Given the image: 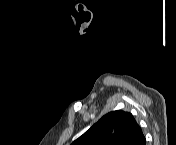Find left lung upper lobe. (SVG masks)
<instances>
[{"instance_id": "obj_1", "label": "left lung upper lobe", "mask_w": 176, "mask_h": 145, "mask_svg": "<svg viewBox=\"0 0 176 145\" xmlns=\"http://www.w3.org/2000/svg\"><path fill=\"white\" fill-rule=\"evenodd\" d=\"M145 137L133 115L121 110L104 115L72 145H144Z\"/></svg>"}]
</instances>
